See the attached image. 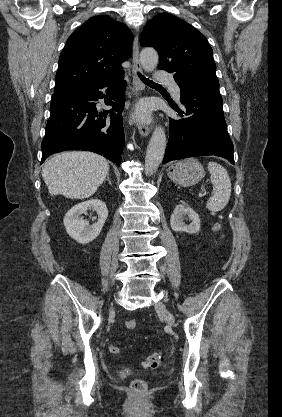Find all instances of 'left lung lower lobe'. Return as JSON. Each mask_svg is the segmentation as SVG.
I'll use <instances>...</instances> for the list:
<instances>
[{
  "instance_id": "1",
  "label": "left lung lower lobe",
  "mask_w": 282,
  "mask_h": 417,
  "mask_svg": "<svg viewBox=\"0 0 282 417\" xmlns=\"http://www.w3.org/2000/svg\"><path fill=\"white\" fill-rule=\"evenodd\" d=\"M183 117L170 118V136L163 163L193 156L215 155L234 164L233 143L227 132L219 93V82L206 78L184 80L178 84Z\"/></svg>"
}]
</instances>
